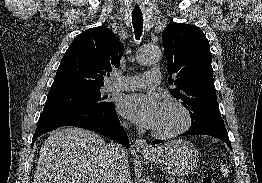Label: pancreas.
I'll use <instances>...</instances> for the list:
<instances>
[{"instance_id": "obj_1", "label": "pancreas", "mask_w": 262, "mask_h": 183, "mask_svg": "<svg viewBox=\"0 0 262 183\" xmlns=\"http://www.w3.org/2000/svg\"><path fill=\"white\" fill-rule=\"evenodd\" d=\"M176 183H191V182L185 181V180H178V182H176Z\"/></svg>"}]
</instances>
